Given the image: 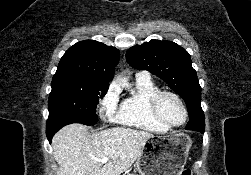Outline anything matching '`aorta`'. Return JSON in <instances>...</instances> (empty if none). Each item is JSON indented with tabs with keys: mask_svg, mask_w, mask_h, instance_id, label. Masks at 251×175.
<instances>
[{
	"mask_svg": "<svg viewBox=\"0 0 251 175\" xmlns=\"http://www.w3.org/2000/svg\"><path fill=\"white\" fill-rule=\"evenodd\" d=\"M117 82H119V84H121L122 88H125V89H130L131 88V84H128V82H121V78H116Z\"/></svg>",
	"mask_w": 251,
	"mask_h": 175,
	"instance_id": "aorta-1",
	"label": "aorta"
}]
</instances>
